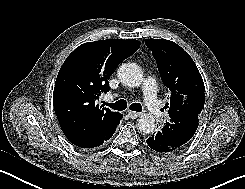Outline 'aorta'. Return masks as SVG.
Here are the masks:
<instances>
[{
    "mask_svg": "<svg viewBox=\"0 0 245 189\" xmlns=\"http://www.w3.org/2000/svg\"><path fill=\"white\" fill-rule=\"evenodd\" d=\"M117 75L122 84L129 87L140 86L143 81V72L135 63L122 64ZM155 119L151 114H143L137 121V129L140 133L151 134L155 129Z\"/></svg>",
    "mask_w": 245,
    "mask_h": 189,
    "instance_id": "aorta-1",
    "label": "aorta"
}]
</instances>
